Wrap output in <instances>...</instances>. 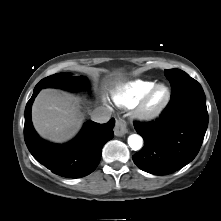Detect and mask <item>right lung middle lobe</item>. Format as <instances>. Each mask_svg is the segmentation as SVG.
<instances>
[{
  "mask_svg": "<svg viewBox=\"0 0 221 221\" xmlns=\"http://www.w3.org/2000/svg\"><path fill=\"white\" fill-rule=\"evenodd\" d=\"M86 80L83 76L73 77L70 73H58L42 79L36 87L62 88L69 91H79L86 88Z\"/></svg>",
  "mask_w": 221,
  "mask_h": 221,
  "instance_id": "obj_1",
  "label": "right lung middle lobe"
}]
</instances>
